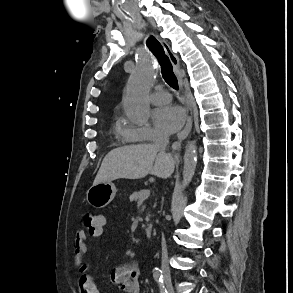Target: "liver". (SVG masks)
Masks as SVG:
<instances>
[{
  "instance_id": "1",
  "label": "liver",
  "mask_w": 293,
  "mask_h": 293,
  "mask_svg": "<svg viewBox=\"0 0 293 293\" xmlns=\"http://www.w3.org/2000/svg\"><path fill=\"white\" fill-rule=\"evenodd\" d=\"M174 159L152 144L130 145L110 151L101 164L93 185L120 178L141 179L148 174L168 178L174 171Z\"/></svg>"
}]
</instances>
